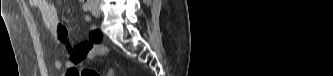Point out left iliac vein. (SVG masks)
Masks as SVG:
<instances>
[{
    "label": "left iliac vein",
    "instance_id": "1",
    "mask_svg": "<svg viewBox=\"0 0 333 76\" xmlns=\"http://www.w3.org/2000/svg\"><path fill=\"white\" fill-rule=\"evenodd\" d=\"M92 14H93V15H97L98 12L92 9Z\"/></svg>",
    "mask_w": 333,
    "mask_h": 76
}]
</instances>
